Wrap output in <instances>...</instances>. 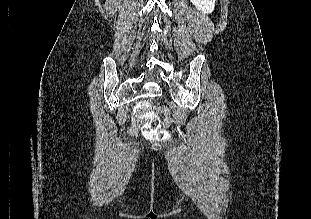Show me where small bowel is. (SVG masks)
Instances as JSON below:
<instances>
[{
  "label": "small bowel",
  "instance_id": "small-bowel-1",
  "mask_svg": "<svg viewBox=\"0 0 311 219\" xmlns=\"http://www.w3.org/2000/svg\"><path fill=\"white\" fill-rule=\"evenodd\" d=\"M162 111H163V112H166V109H162ZM164 123H165V124H168V119H166ZM137 129H138V118H133V119H132V124H131L130 130H131L132 132H136Z\"/></svg>",
  "mask_w": 311,
  "mask_h": 219
}]
</instances>
